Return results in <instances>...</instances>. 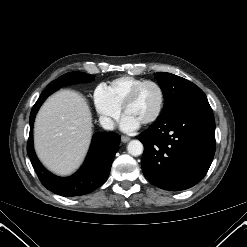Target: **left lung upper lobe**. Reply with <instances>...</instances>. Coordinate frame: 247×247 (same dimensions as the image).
<instances>
[{
	"instance_id": "5c2ea615",
	"label": "left lung upper lobe",
	"mask_w": 247,
	"mask_h": 247,
	"mask_svg": "<svg viewBox=\"0 0 247 247\" xmlns=\"http://www.w3.org/2000/svg\"><path fill=\"white\" fill-rule=\"evenodd\" d=\"M155 77L162 88L165 98L161 115L168 114L186 99L205 95L198 86L177 75L158 72Z\"/></svg>"
}]
</instances>
